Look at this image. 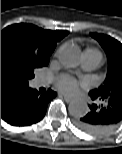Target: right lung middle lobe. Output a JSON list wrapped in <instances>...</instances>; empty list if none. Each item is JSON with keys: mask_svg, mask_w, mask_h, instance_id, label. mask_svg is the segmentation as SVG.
Returning <instances> with one entry per match:
<instances>
[{"mask_svg": "<svg viewBox=\"0 0 122 154\" xmlns=\"http://www.w3.org/2000/svg\"><path fill=\"white\" fill-rule=\"evenodd\" d=\"M49 59L38 55L15 32H1V82L11 87L29 85L34 70Z\"/></svg>", "mask_w": 122, "mask_h": 154, "instance_id": "dd1d6c3e", "label": "right lung middle lobe"}]
</instances>
